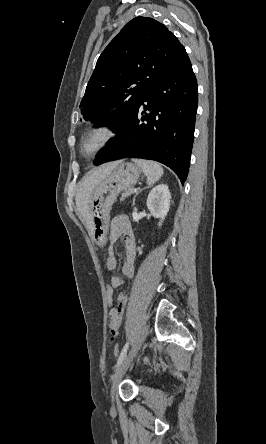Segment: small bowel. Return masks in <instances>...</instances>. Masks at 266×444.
<instances>
[{"mask_svg": "<svg viewBox=\"0 0 266 444\" xmlns=\"http://www.w3.org/2000/svg\"><path fill=\"white\" fill-rule=\"evenodd\" d=\"M122 237L125 256L122 265V273L124 276L131 278L134 274L135 264V240L129 223L124 215L116 216L111 224L109 233L108 257L106 260V268L113 272L117 268V258L113 252L112 246ZM111 283L115 288L123 285V280L119 276H112ZM127 294L122 292L118 296L117 305L109 311V329L112 335H116L122 325L123 315L127 304Z\"/></svg>", "mask_w": 266, "mask_h": 444, "instance_id": "obj_1", "label": "small bowel"}]
</instances>
